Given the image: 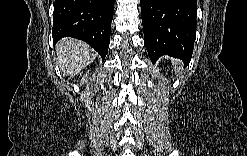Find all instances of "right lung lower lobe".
Wrapping results in <instances>:
<instances>
[{"label":"right lung lower lobe","mask_w":247,"mask_h":156,"mask_svg":"<svg viewBox=\"0 0 247 156\" xmlns=\"http://www.w3.org/2000/svg\"><path fill=\"white\" fill-rule=\"evenodd\" d=\"M114 0H55L54 43L73 37L88 43L105 58L109 43Z\"/></svg>","instance_id":"right-lung-lower-lobe-1"}]
</instances>
